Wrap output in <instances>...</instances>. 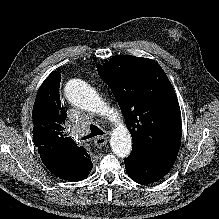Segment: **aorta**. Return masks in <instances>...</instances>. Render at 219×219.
<instances>
[{"mask_svg":"<svg viewBox=\"0 0 219 219\" xmlns=\"http://www.w3.org/2000/svg\"><path fill=\"white\" fill-rule=\"evenodd\" d=\"M64 93L73 105L99 114L112 122L114 128L110 139L111 149L120 158L129 156L132 150V137L129 130L118 113L99 96L93 87L80 79H73L65 85Z\"/></svg>","mask_w":219,"mask_h":219,"instance_id":"aorta-1","label":"aorta"}]
</instances>
